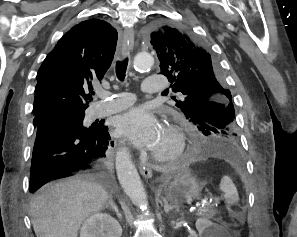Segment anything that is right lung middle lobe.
I'll return each instance as SVG.
<instances>
[{
    "label": "right lung middle lobe",
    "instance_id": "1",
    "mask_svg": "<svg viewBox=\"0 0 297 237\" xmlns=\"http://www.w3.org/2000/svg\"><path fill=\"white\" fill-rule=\"evenodd\" d=\"M61 114L67 116L69 119L73 120L76 124H79L83 128H86V127L83 126V119H84V116H85L84 112H63ZM39 121L40 120H37V121L34 120L33 121L35 127L38 125ZM91 126H93V124ZM91 126L89 128H91Z\"/></svg>",
    "mask_w": 297,
    "mask_h": 237
}]
</instances>
